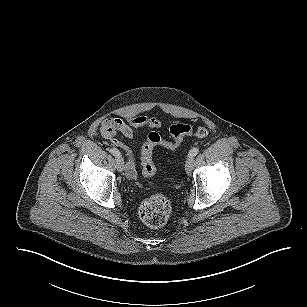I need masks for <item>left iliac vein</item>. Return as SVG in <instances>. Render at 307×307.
<instances>
[{
  "label": "left iliac vein",
  "mask_w": 307,
  "mask_h": 307,
  "mask_svg": "<svg viewBox=\"0 0 307 307\" xmlns=\"http://www.w3.org/2000/svg\"><path fill=\"white\" fill-rule=\"evenodd\" d=\"M193 169H194V159H193V157H189L186 161V164H185L186 173L188 175H190L192 173Z\"/></svg>",
  "instance_id": "1"
}]
</instances>
